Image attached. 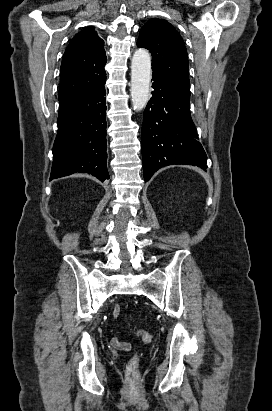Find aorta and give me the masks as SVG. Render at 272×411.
Segmentation results:
<instances>
[{
  "mask_svg": "<svg viewBox=\"0 0 272 411\" xmlns=\"http://www.w3.org/2000/svg\"><path fill=\"white\" fill-rule=\"evenodd\" d=\"M151 57L145 49H138L131 63V101L134 110H142L149 98Z\"/></svg>",
  "mask_w": 272,
  "mask_h": 411,
  "instance_id": "762f6f07",
  "label": "aorta"
}]
</instances>
